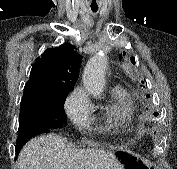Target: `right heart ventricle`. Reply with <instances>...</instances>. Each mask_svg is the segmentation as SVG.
I'll list each match as a JSON object with an SVG mask.
<instances>
[{
	"instance_id": "obj_1",
	"label": "right heart ventricle",
	"mask_w": 177,
	"mask_h": 169,
	"mask_svg": "<svg viewBox=\"0 0 177 169\" xmlns=\"http://www.w3.org/2000/svg\"><path fill=\"white\" fill-rule=\"evenodd\" d=\"M134 115V104L130 95L123 89L114 92V102L105 108L102 128L117 131L130 125Z\"/></svg>"
}]
</instances>
